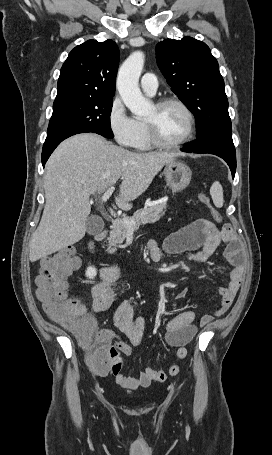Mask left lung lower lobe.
<instances>
[{
	"label": "left lung lower lobe",
	"instance_id": "1",
	"mask_svg": "<svg viewBox=\"0 0 272 455\" xmlns=\"http://www.w3.org/2000/svg\"><path fill=\"white\" fill-rule=\"evenodd\" d=\"M188 153H210L223 158L229 165L232 177L236 171V152L232 140L231 126L217 128L190 142L188 146L181 149Z\"/></svg>",
	"mask_w": 272,
	"mask_h": 455
}]
</instances>
